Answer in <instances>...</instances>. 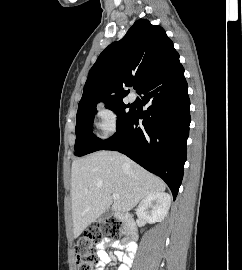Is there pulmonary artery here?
Listing matches in <instances>:
<instances>
[{
	"label": "pulmonary artery",
	"mask_w": 242,
	"mask_h": 270,
	"mask_svg": "<svg viewBox=\"0 0 242 270\" xmlns=\"http://www.w3.org/2000/svg\"><path fill=\"white\" fill-rule=\"evenodd\" d=\"M129 100H130L131 102H134V101L136 100V95H135L134 92H131V93L129 94Z\"/></svg>",
	"instance_id": "e3ab8cb5"
}]
</instances>
